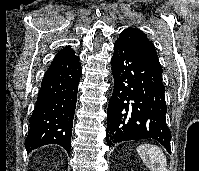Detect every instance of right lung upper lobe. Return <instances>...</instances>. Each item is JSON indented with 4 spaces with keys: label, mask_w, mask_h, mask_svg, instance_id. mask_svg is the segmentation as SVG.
<instances>
[{
    "label": "right lung upper lobe",
    "mask_w": 199,
    "mask_h": 171,
    "mask_svg": "<svg viewBox=\"0 0 199 171\" xmlns=\"http://www.w3.org/2000/svg\"><path fill=\"white\" fill-rule=\"evenodd\" d=\"M75 53L74 50H72L70 48V46H67L63 49H61L60 51H58V53L56 54V56L58 57H68V56H73Z\"/></svg>",
    "instance_id": "right-lung-upper-lobe-1"
}]
</instances>
